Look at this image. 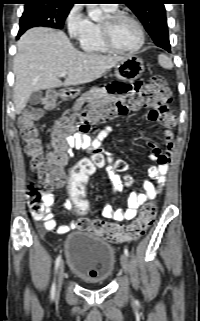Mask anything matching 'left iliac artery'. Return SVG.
I'll use <instances>...</instances> for the list:
<instances>
[{
	"mask_svg": "<svg viewBox=\"0 0 200 321\" xmlns=\"http://www.w3.org/2000/svg\"><path fill=\"white\" fill-rule=\"evenodd\" d=\"M124 254L128 257L129 256V251L127 248L124 249Z\"/></svg>",
	"mask_w": 200,
	"mask_h": 321,
	"instance_id": "obj_1",
	"label": "left iliac artery"
}]
</instances>
